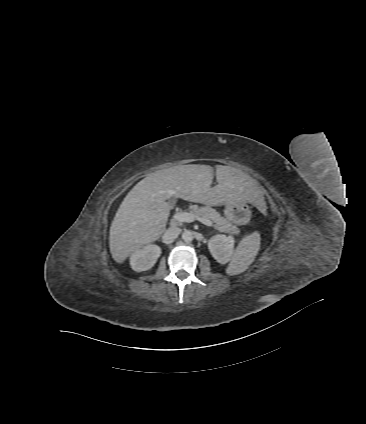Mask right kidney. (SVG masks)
Returning a JSON list of instances; mask_svg holds the SVG:
<instances>
[{
    "mask_svg": "<svg viewBox=\"0 0 366 424\" xmlns=\"http://www.w3.org/2000/svg\"><path fill=\"white\" fill-rule=\"evenodd\" d=\"M161 254L158 245L150 244L136 250L130 256V265L134 271L142 272L151 269Z\"/></svg>",
    "mask_w": 366,
    "mask_h": 424,
    "instance_id": "obj_1",
    "label": "right kidney"
}]
</instances>
